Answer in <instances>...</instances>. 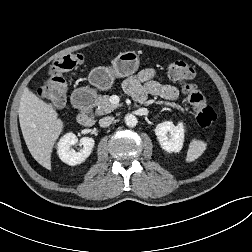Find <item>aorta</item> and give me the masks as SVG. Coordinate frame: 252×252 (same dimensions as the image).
<instances>
[{
	"instance_id": "obj_1",
	"label": "aorta",
	"mask_w": 252,
	"mask_h": 252,
	"mask_svg": "<svg viewBox=\"0 0 252 252\" xmlns=\"http://www.w3.org/2000/svg\"><path fill=\"white\" fill-rule=\"evenodd\" d=\"M137 118L132 114H127L125 116V123L129 127H135L137 125Z\"/></svg>"
}]
</instances>
